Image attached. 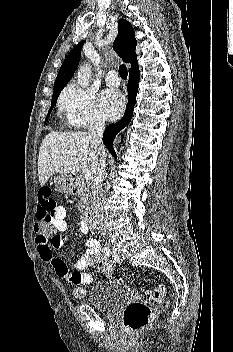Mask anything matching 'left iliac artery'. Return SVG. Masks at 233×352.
Segmentation results:
<instances>
[{
    "label": "left iliac artery",
    "mask_w": 233,
    "mask_h": 352,
    "mask_svg": "<svg viewBox=\"0 0 233 352\" xmlns=\"http://www.w3.org/2000/svg\"><path fill=\"white\" fill-rule=\"evenodd\" d=\"M113 258L115 261L119 262L120 261V256L118 255V253L114 250L113 251Z\"/></svg>",
    "instance_id": "1"
}]
</instances>
